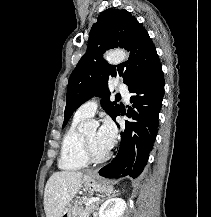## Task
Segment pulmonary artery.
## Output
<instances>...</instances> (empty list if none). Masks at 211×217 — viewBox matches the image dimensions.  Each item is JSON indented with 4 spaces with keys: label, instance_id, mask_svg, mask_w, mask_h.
<instances>
[{
    "label": "pulmonary artery",
    "instance_id": "e3ab8cb5",
    "mask_svg": "<svg viewBox=\"0 0 211 217\" xmlns=\"http://www.w3.org/2000/svg\"><path fill=\"white\" fill-rule=\"evenodd\" d=\"M117 89L118 91L124 96V98L128 101L129 99V92L123 83H118L117 84ZM98 107V101L96 98H91L90 100L86 101L83 103L77 110L75 115L81 118H90L92 117Z\"/></svg>",
    "mask_w": 211,
    "mask_h": 217
}]
</instances>
